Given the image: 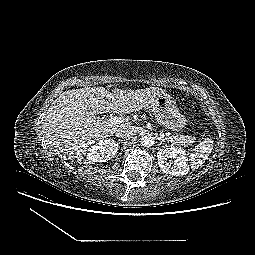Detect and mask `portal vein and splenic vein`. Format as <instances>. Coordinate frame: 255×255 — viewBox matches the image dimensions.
Wrapping results in <instances>:
<instances>
[{
  "instance_id": "18ae733b",
  "label": "portal vein and splenic vein",
  "mask_w": 255,
  "mask_h": 255,
  "mask_svg": "<svg viewBox=\"0 0 255 255\" xmlns=\"http://www.w3.org/2000/svg\"><path fill=\"white\" fill-rule=\"evenodd\" d=\"M127 120L122 117H112L109 119V122L112 124H122L125 123Z\"/></svg>"
}]
</instances>
